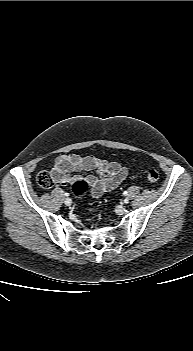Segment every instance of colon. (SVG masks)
Listing matches in <instances>:
<instances>
[{"label": "colon", "instance_id": "5ec220e1", "mask_svg": "<svg viewBox=\"0 0 193 351\" xmlns=\"http://www.w3.org/2000/svg\"><path fill=\"white\" fill-rule=\"evenodd\" d=\"M146 178L150 182H156L159 179V172L154 167H149L146 170ZM37 184L43 189H49L54 185V180L48 172H39L36 176ZM90 190V184L84 179L75 180L71 185L72 194L75 197H80Z\"/></svg>", "mask_w": 193, "mask_h": 351}]
</instances>
